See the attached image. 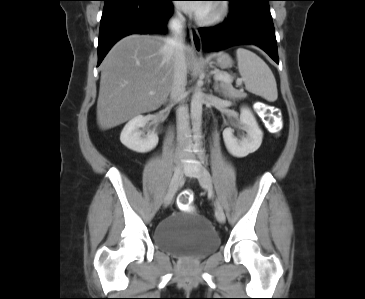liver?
I'll use <instances>...</instances> for the list:
<instances>
[{"instance_id":"obj_1","label":"liver","mask_w":365,"mask_h":299,"mask_svg":"<svg viewBox=\"0 0 365 299\" xmlns=\"http://www.w3.org/2000/svg\"><path fill=\"white\" fill-rule=\"evenodd\" d=\"M174 53L169 39L159 35H130L114 45L101 64L100 128L116 127L167 101L173 84ZM184 54L191 69L192 48L185 46Z\"/></svg>"}]
</instances>
